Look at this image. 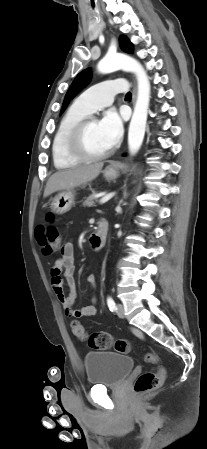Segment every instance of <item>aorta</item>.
<instances>
[{"label":"aorta","instance_id":"aorta-1","mask_svg":"<svg viewBox=\"0 0 207 449\" xmlns=\"http://www.w3.org/2000/svg\"><path fill=\"white\" fill-rule=\"evenodd\" d=\"M100 73H111L117 70L133 72L137 78L138 91L134 112L128 131V146L131 154L140 149L144 135L150 102V82L146 71L135 59L124 54L106 55L98 63Z\"/></svg>","mask_w":207,"mask_h":449}]
</instances>
